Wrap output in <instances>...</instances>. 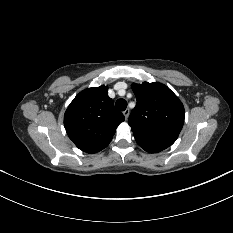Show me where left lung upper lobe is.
<instances>
[{"mask_svg": "<svg viewBox=\"0 0 233 233\" xmlns=\"http://www.w3.org/2000/svg\"><path fill=\"white\" fill-rule=\"evenodd\" d=\"M137 105L130 114L135 140L139 145H172L183 127L185 112L179 98L161 83L132 84Z\"/></svg>", "mask_w": 233, "mask_h": 233, "instance_id": "5c2ea615", "label": "left lung upper lobe"}]
</instances>
